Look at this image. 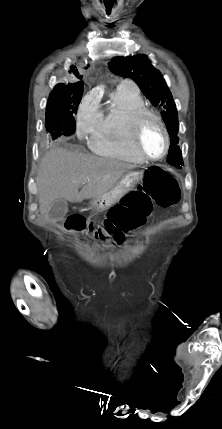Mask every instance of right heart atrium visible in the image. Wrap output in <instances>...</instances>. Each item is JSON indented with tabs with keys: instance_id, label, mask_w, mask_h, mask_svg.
<instances>
[{
	"instance_id": "d8ad5b80",
	"label": "right heart atrium",
	"mask_w": 222,
	"mask_h": 429,
	"mask_svg": "<svg viewBox=\"0 0 222 429\" xmlns=\"http://www.w3.org/2000/svg\"><path fill=\"white\" fill-rule=\"evenodd\" d=\"M103 119L98 99L95 95L86 96L80 103L76 116V132L80 139L92 136Z\"/></svg>"
}]
</instances>
